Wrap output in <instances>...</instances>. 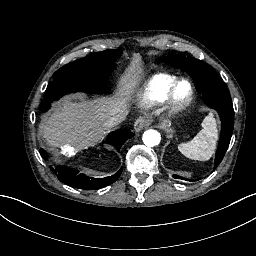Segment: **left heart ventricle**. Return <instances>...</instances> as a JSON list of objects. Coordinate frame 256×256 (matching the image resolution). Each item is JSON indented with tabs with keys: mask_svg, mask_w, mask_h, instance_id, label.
<instances>
[{
	"mask_svg": "<svg viewBox=\"0 0 256 256\" xmlns=\"http://www.w3.org/2000/svg\"><path fill=\"white\" fill-rule=\"evenodd\" d=\"M189 96V88L186 84H182L179 88H178V91H177V100L179 102H183L185 101ZM140 107L142 109H148L149 108V105L147 103H141L140 104Z\"/></svg>",
	"mask_w": 256,
	"mask_h": 256,
	"instance_id": "b2bd125f",
	"label": "left heart ventricle"
}]
</instances>
